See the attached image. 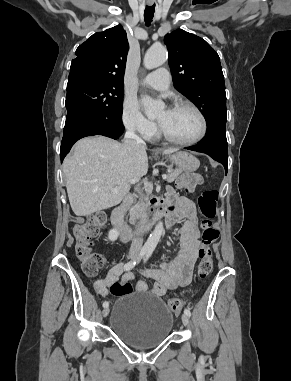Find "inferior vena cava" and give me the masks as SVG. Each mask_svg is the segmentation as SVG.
<instances>
[{
    "mask_svg": "<svg viewBox=\"0 0 291 381\" xmlns=\"http://www.w3.org/2000/svg\"><path fill=\"white\" fill-rule=\"evenodd\" d=\"M125 138L136 141V143L138 145H140L142 148L146 147L145 142L139 136H137L135 134L133 129L129 128L126 131ZM143 213H144V206L141 203L140 206H139V218L140 219L143 217ZM136 228H137V225H136ZM142 244H143V239L141 237H139V236H135L133 238V240H132V244H131V247H130V254L137 255L140 252L141 248H142Z\"/></svg>",
    "mask_w": 291,
    "mask_h": 381,
    "instance_id": "602c4592",
    "label": "inferior vena cava"
}]
</instances>
